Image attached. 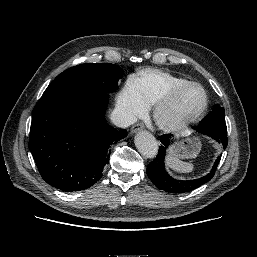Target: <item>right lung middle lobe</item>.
Masks as SVG:
<instances>
[{
  "label": "right lung middle lobe",
  "instance_id": "1",
  "mask_svg": "<svg viewBox=\"0 0 257 257\" xmlns=\"http://www.w3.org/2000/svg\"><path fill=\"white\" fill-rule=\"evenodd\" d=\"M123 71L110 63L81 64L59 74L43 96L63 91L91 90L111 93L117 90Z\"/></svg>",
  "mask_w": 257,
  "mask_h": 257
}]
</instances>
